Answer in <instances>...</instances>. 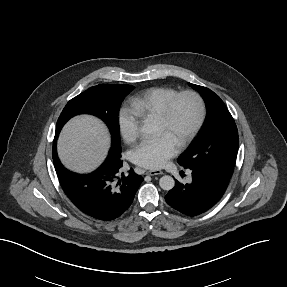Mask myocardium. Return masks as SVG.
<instances>
[{"label":"myocardium","instance_id":"obj_1","mask_svg":"<svg viewBox=\"0 0 287 287\" xmlns=\"http://www.w3.org/2000/svg\"><path fill=\"white\" fill-rule=\"evenodd\" d=\"M189 97L191 98L197 107V117L196 120L189 130V132L186 134V136L179 142L178 148L184 149L186 148L197 136L198 132L200 131L206 117V108L203 98L199 93L193 90H185L179 93H176L172 98L168 100L166 103L161 115L157 118L158 123L161 125L167 127L170 125L174 108L177 104V102L184 98Z\"/></svg>","mask_w":287,"mask_h":287}]
</instances>
